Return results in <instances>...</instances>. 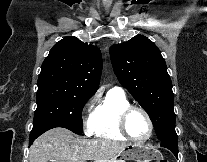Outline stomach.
<instances>
[{"label": "stomach", "mask_w": 207, "mask_h": 162, "mask_svg": "<svg viewBox=\"0 0 207 162\" xmlns=\"http://www.w3.org/2000/svg\"><path fill=\"white\" fill-rule=\"evenodd\" d=\"M125 160L135 162H151L157 160L161 162L162 154L156 149L147 146L129 145L112 162H125Z\"/></svg>", "instance_id": "1"}]
</instances>
